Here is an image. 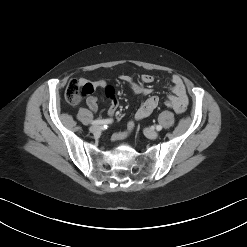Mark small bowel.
I'll use <instances>...</instances> for the list:
<instances>
[{
	"label": "small bowel",
	"mask_w": 247,
	"mask_h": 247,
	"mask_svg": "<svg viewBox=\"0 0 247 247\" xmlns=\"http://www.w3.org/2000/svg\"><path fill=\"white\" fill-rule=\"evenodd\" d=\"M121 80L125 82L131 89V91L137 96H148V98L140 105V107L135 112V119L141 120L148 117L158 106L159 99L156 96H152V90L148 87H144L139 83L135 82L130 76L123 75L121 76ZM141 80L143 83H152L154 81V77L149 74H143L141 76ZM79 82L82 85L89 84L92 86L93 90L95 88H102L105 91L106 96L110 101L108 112L110 115H113L118 110V100L115 95V90L112 86L108 85L105 80H98V81H89L85 78H81ZM172 84V95L168 97L174 103V110L181 114L183 113L188 105V96L185 84L182 78L178 75H174L171 78ZM86 104L89 109L93 112H96L98 109V101L97 98L93 95H90L86 99ZM134 123L132 121L128 122L127 125V132L125 133H116L113 138L120 139L123 138L127 133L133 130Z\"/></svg>",
	"instance_id": "small-bowel-1"
}]
</instances>
